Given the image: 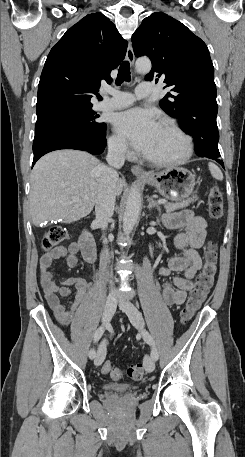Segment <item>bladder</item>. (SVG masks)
I'll return each mask as SVG.
<instances>
[{
    "mask_svg": "<svg viewBox=\"0 0 245 457\" xmlns=\"http://www.w3.org/2000/svg\"><path fill=\"white\" fill-rule=\"evenodd\" d=\"M104 389L107 391H119V392H124L129 389V386L126 384H121V383H112L110 385L104 386Z\"/></svg>",
    "mask_w": 245,
    "mask_h": 457,
    "instance_id": "1",
    "label": "bladder"
}]
</instances>
